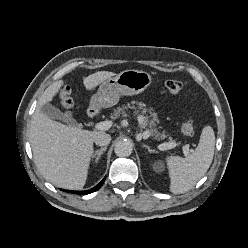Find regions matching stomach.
Segmentation results:
<instances>
[{
	"mask_svg": "<svg viewBox=\"0 0 248 248\" xmlns=\"http://www.w3.org/2000/svg\"><path fill=\"white\" fill-rule=\"evenodd\" d=\"M152 77L142 70H124L104 81L98 92L91 97L90 107L94 110L108 108L119 102L121 95H136L147 89Z\"/></svg>",
	"mask_w": 248,
	"mask_h": 248,
	"instance_id": "1",
	"label": "stomach"
}]
</instances>
